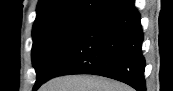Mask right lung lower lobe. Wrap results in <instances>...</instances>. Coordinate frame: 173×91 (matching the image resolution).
<instances>
[{"label": "right lung lower lobe", "mask_w": 173, "mask_h": 91, "mask_svg": "<svg viewBox=\"0 0 173 91\" xmlns=\"http://www.w3.org/2000/svg\"><path fill=\"white\" fill-rule=\"evenodd\" d=\"M143 39L134 0H117L84 23L43 82L59 75L95 74L145 91Z\"/></svg>", "instance_id": "98d812e1"}]
</instances>
